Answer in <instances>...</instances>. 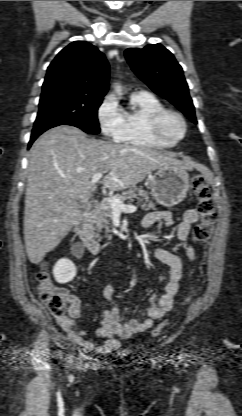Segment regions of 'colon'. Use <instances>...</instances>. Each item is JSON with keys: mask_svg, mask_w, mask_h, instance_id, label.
Returning <instances> with one entry per match:
<instances>
[{"mask_svg": "<svg viewBox=\"0 0 242 416\" xmlns=\"http://www.w3.org/2000/svg\"><path fill=\"white\" fill-rule=\"evenodd\" d=\"M192 188L197 201V211L200 219L193 230V238L197 244H204L208 241L217 222V212L213 202L208 180L205 176L196 175L192 178ZM38 292L41 300L46 304L51 314L55 317H62L69 302L67 293L56 287L50 277L49 264L43 262L41 270L37 274ZM165 324L158 325L152 336H158L164 329Z\"/></svg>", "mask_w": 242, "mask_h": 416, "instance_id": "5ec220e1", "label": "colon"}]
</instances>
